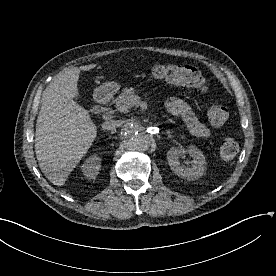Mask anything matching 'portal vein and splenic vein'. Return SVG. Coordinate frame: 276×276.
<instances>
[{
    "instance_id": "portal-vein-and-splenic-vein-1",
    "label": "portal vein and splenic vein",
    "mask_w": 276,
    "mask_h": 276,
    "mask_svg": "<svg viewBox=\"0 0 276 276\" xmlns=\"http://www.w3.org/2000/svg\"><path fill=\"white\" fill-rule=\"evenodd\" d=\"M139 100H140V97L134 96L128 99V101H126L125 104L123 106H120L118 109L123 112L127 108H130L131 106L136 105L139 102Z\"/></svg>"
}]
</instances>
